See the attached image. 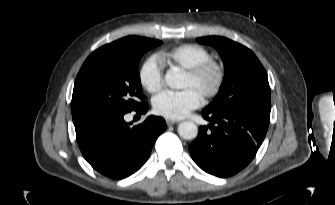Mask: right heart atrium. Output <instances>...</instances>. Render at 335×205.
Wrapping results in <instances>:
<instances>
[{
	"label": "right heart atrium",
	"mask_w": 335,
	"mask_h": 205,
	"mask_svg": "<svg viewBox=\"0 0 335 205\" xmlns=\"http://www.w3.org/2000/svg\"><path fill=\"white\" fill-rule=\"evenodd\" d=\"M163 65L156 55L148 57L139 71L141 85L150 93H155L163 85Z\"/></svg>",
	"instance_id": "right-heart-atrium-1"
}]
</instances>
